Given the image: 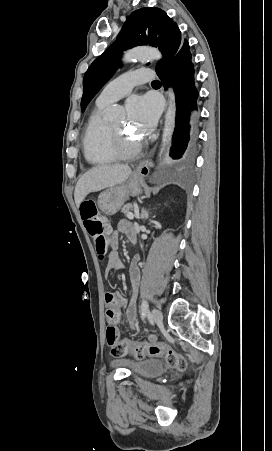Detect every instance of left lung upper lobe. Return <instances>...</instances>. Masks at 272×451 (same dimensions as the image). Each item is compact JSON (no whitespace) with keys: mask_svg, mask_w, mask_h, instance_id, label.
<instances>
[{"mask_svg":"<svg viewBox=\"0 0 272 451\" xmlns=\"http://www.w3.org/2000/svg\"><path fill=\"white\" fill-rule=\"evenodd\" d=\"M183 39L177 24L165 11L156 7L141 8L126 17L117 40L88 68L83 78L82 112L88 103L119 67L122 50L138 45L158 47L163 59L156 72L164 68L178 52Z\"/></svg>","mask_w":272,"mask_h":451,"instance_id":"obj_1","label":"left lung upper lobe"}]
</instances>
